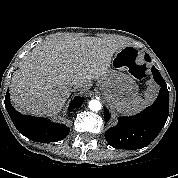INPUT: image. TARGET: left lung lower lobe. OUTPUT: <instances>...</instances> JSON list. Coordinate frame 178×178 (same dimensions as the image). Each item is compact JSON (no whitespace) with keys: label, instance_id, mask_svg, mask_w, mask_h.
<instances>
[{"label":"left lung lower lobe","instance_id":"obj_1","mask_svg":"<svg viewBox=\"0 0 178 178\" xmlns=\"http://www.w3.org/2000/svg\"><path fill=\"white\" fill-rule=\"evenodd\" d=\"M145 59L150 61L149 55ZM154 80L161 86L155 102L143 112L132 116L122 117L118 124L107 130L105 138L109 145L118 149L135 150L149 145L160 133L169 115V93L164 79L153 66ZM105 121L110 118L107 108L104 110Z\"/></svg>","mask_w":178,"mask_h":178}]
</instances>
